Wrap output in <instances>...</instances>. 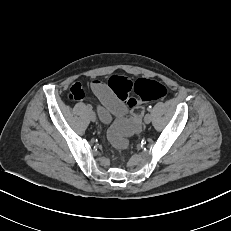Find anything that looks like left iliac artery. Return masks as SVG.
<instances>
[{"instance_id":"left-iliac-artery-1","label":"left iliac artery","mask_w":231,"mask_h":231,"mask_svg":"<svg viewBox=\"0 0 231 231\" xmlns=\"http://www.w3.org/2000/svg\"><path fill=\"white\" fill-rule=\"evenodd\" d=\"M147 110H148V111H151V110H152V106H149V107L147 108Z\"/></svg>"}]
</instances>
